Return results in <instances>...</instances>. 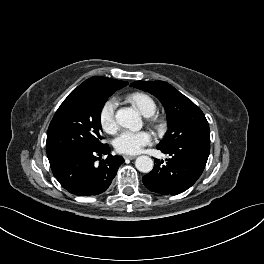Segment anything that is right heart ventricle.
<instances>
[{
    "instance_id": "e07e8e85",
    "label": "right heart ventricle",
    "mask_w": 264,
    "mask_h": 264,
    "mask_svg": "<svg viewBox=\"0 0 264 264\" xmlns=\"http://www.w3.org/2000/svg\"><path fill=\"white\" fill-rule=\"evenodd\" d=\"M128 100L132 102L144 116H152L157 110L154 99L146 93H132L128 96Z\"/></svg>"
}]
</instances>
